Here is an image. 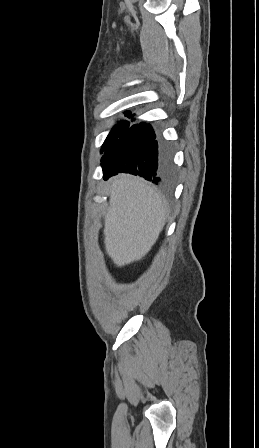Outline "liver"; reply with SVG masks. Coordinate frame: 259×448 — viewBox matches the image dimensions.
<instances>
[{
    "instance_id": "6515ba94",
    "label": "liver",
    "mask_w": 259,
    "mask_h": 448,
    "mask_svg": "<svg viewBox=\"0 0 259 448\" xmlns=\"http://www.w3.org/2000/svg\"><path fill=\"white\" fill-rule=\"evenodd\" d=\"M104 218L105 250L116 266L142 260L165 226V198L139 176L118 174L110 180Z\"/></svg>"
}]
</instances>
